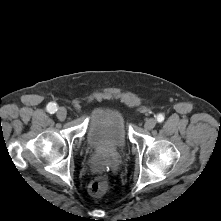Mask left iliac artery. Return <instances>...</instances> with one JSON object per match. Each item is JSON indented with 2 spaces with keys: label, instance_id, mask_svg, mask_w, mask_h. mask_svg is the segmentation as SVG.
Masks as SVG:
<instances>
[{
  "label": "left iliac artery",
  "instance_id": "left-iliac-artery-1",
  "mask_svg": "<svg viewBox=\"0 0 221 221\" xmlns=\"http://www.w3.org/2000/svg\"><path fill=\"white\" fill-rule=\"evenodd\" d=\"M156 119H157L158 122H163L164 121V115L160 113V114L157 115Z\"/></svg>",
  "mask_w": 221,
  "mask_h": 221
}]
</instances>
